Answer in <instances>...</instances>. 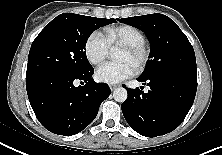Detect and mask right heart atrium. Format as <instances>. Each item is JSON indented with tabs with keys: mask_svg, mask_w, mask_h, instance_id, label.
Here are the masks:
<instances>
[{
	"mask_svg": "<svg viewBox=\"0 0 222 155\" xmlns=\"http://www.w3.org/2000/svg\"><path fill=\"white\" fill-rule=\"evenodd\" d=\"M110 45L100 31L92 32L85 43V54L90 63L101 64L108 56Z\"/></svg>",
	"mask_w": 222,
	"mask_h": 155,
	"instance_id": "obj_1",
	"label": "right heart atrium"
}]
</instances>
